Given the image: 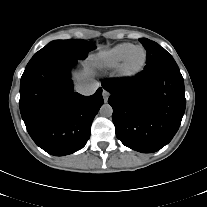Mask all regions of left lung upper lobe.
<instances>
[{"label":"left lung upper lobe","mask_w":207,"mask_h":207,"mask_svg":"<svg viewBox=\"0 0 207 207\" xmlns=\"http://www.w3.org/2000/svg\"><path fill=\"white\" fill-rule=\"evenodd\" d=\"M139 41L147 51L146 69L174 60L173 57L156 42L147 38H140Z\"/></svg>","instance_id":"5c2ea615"}]
</instances>
